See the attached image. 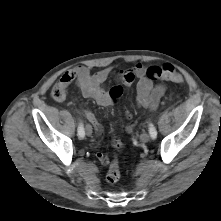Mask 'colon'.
I'll list each match as a JSON object with an SVG mask.
<instances>
[{"instance_id":"1","label":"colon","mask_w":221,"mask_h":221,"mask_svg":"<svg viewBox=\"0 0 221 221\" xmlns=\"http://www.w3.org/2000/svg\"><path fill=\"white\" fill-rule=\"evenodd\" d=\"M146 75L151 80L170 81L175 84H182L183 77L178 74L174 67L170 64H164L161 66L149 67L146 71ZM111 94L115 100H118L122 94L121 86H114L111 88ZM51 97L57 102L64 101L67 98V89L58 81L51 89ZM120 141L115 140V146L118 147ZM121 172L117 158H113L110 161L109 169L106 174V180L110 184H115L120 180Z\"/></svg>"}]
</instances>
